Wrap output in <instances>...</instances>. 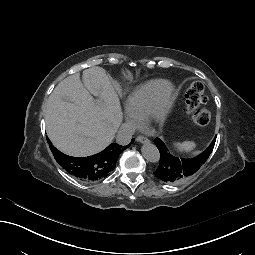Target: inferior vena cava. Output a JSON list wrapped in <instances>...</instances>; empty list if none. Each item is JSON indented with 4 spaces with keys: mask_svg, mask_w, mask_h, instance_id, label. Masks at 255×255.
<instances>
[{
    "mask_svg": "<svg viewBox=\"0 0 255 255\" xmlns=\"http://www.w3.org/2000/svg\"><path fill=\"white\" fill-rule=\"evenodd\" d=\"M134 133L135 127L132 124H123L118 131L116 141L121 145H126L130 142Z\"/></svg>",
    "mask_w": 255,
    "mask_h": 255,
    "instance_id": "obj_1",
    "label": "inferior vena cava"
}]
</instances>
